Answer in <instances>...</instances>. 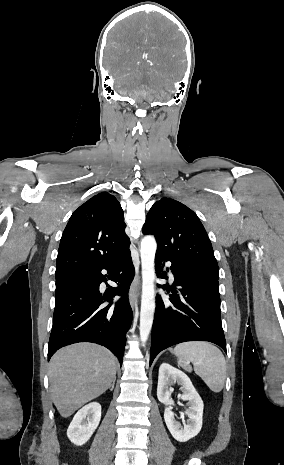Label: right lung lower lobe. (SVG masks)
I'll list each match as a JSON object with an SVG mask.
<instances>
[{
    "instance_id": "1",
    "label": "right lung lower lobe",
    "mask_w": 284,
    "mask_h": 465,
    "mask_svg": "<svg viewBox=\"0 0 284 465\" xmlns=\"http://www.w3.org/2000/svg\"><path fill=\"white\" fill-rule=\"evenodd\" d=\"M103 269L118 283V287H110L104 294L99 291L101 282H106ZM133 278L134 266L128 248L98 270L56 284L48 360L61 347L92 342L108 348L122 365L126 332L132 321L127 294ZM115 295L123 296L114 303Z\"/></svg>"
}]
</instances>
